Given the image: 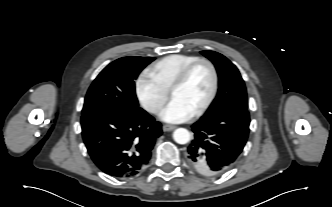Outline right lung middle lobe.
I'll return each mask as SVG.
<instances>
[{"mask_svg": "<svg viewBox=\"0 0 332 207\" xmlns=\"http://www.w3.org/2000/svg\"><path fill=\"white\" fill-rule=\"evenodd\" d=\"M153 57L129 56L106 66L91 84L82 115L100 110L131 112L139 109L135 79Z\"/></svg>", "mask_w": 332, "mask_h": 207, "instance_id": "right-lung-middle-lobe-1", "label": "right lung middle lobe"}]
</instances>
